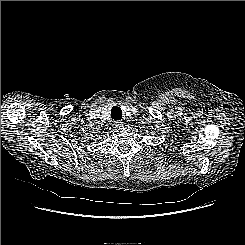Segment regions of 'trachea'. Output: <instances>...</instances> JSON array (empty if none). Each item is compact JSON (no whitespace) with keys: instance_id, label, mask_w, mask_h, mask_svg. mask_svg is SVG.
Listing matches in <instances>:
<instances>
[{"instance_id":"trachea-1","label":"trachea","mask_w":245,"mask_h":245,"mask_svg":"<svg viewBox=\"0 0 245 245\" xmlns=\"http://www.w3.org/2000/svg\"><path fill=\"white\" fill-rule=\"evenodd\" d=\"M111 117L114 120H120L122 119V111L121 108L118 106H113L111 109Z\"/></svg>"}]
</instances>
